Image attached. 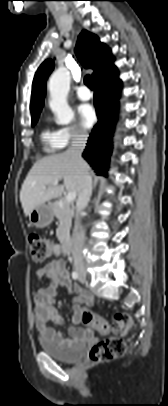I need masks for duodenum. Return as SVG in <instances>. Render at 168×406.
Returning a JSON list of instances; mask_svg holds the SVG:
<instances>
[{
    "instance_id": "1",
    "label": "duodenum",
    "mask_w": 168,
    "mask_h": 406,
    "mask_svg": "<svg viewBox=\"0 0 168 406\" xmlns=\"http://www.w3.org/2000/svg\"><path fill=\"white\" fill-rule=\"evenodd\" d=\"M61 250L64 254H69L71 252V241L69 236H62L60 239Z\"/></svg>"
}]
</instances>
